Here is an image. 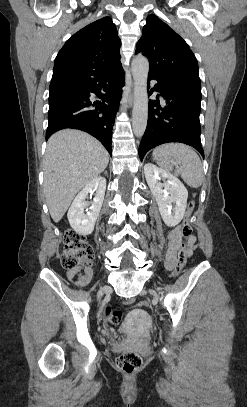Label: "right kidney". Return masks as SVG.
Returning <instances> with one entry per match:
<instances>
[{
  "mask_svg": "<svg viewBox=\"0 0 247 407\" xmlns=\"http://www.w3.org/2000/svg\"><path fill=\"white\" fill-rule=\"evenodd\" d=\"M106 190V179L97 177L90 181L75 197L67 217L71 227L79 234L89 235L93 232L95 222L101 210ZM96 191L91 203L86 201L89 193ZM90 205L89 209H86Z\"/></svg>",
  "mask_w": 247,
  "mask_h": 407,
  "instance_id": "obj_1",
  "label": "right kidney"
}]
</instances>
